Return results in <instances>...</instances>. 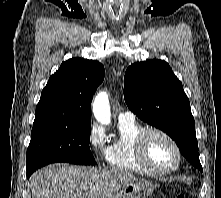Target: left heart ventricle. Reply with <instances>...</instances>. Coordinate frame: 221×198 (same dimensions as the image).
I'll return each instance as SVG.
<instances>
[{"label":"left heart ventricle","instance_id":"left-heart-ventricle-1","mask_svg":"<svg viewBox=\"0 0 221 198\" xmlns=\"http://www.w3.org/2000/svg\"><path fill=\"white\" fill-rule=\"evenodd\" d=\"M149 161L159 168H171L175 165L177 155L174 147L164 137L153 134L147 141Z\"/></svg>","mask_w":221,"mask_h":198}]
</instances>
